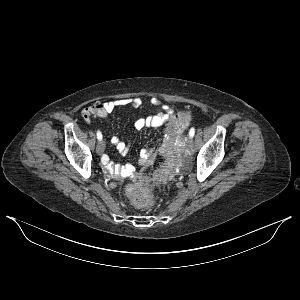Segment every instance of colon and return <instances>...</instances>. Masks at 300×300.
I'll list each match as a JSON object with an SVG mask.
<instances>
[{"mask_svg":"<svg viewBox=\"0 0 300 300\" xmlns=\"http://www.w3.org/2000/svg\"><path fill=\"white\" fill-rule=\"evenodd\" d=\"M190 115L187 112L176 114L166 129V142L163 151L167 156L166 168L153 171L143 177H138L135 184L128 187V192L133 204L139 208H147L155 202L152 189L157 187V183H165L173 172L177 162L176 144L179 135L189 124Z\"/></svg>","mask_w":300,"mask_h":300,"instance_id":"colon-1","label":"colon"}]
</instances>
